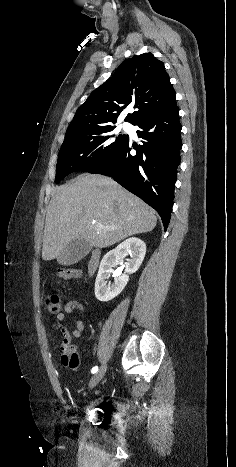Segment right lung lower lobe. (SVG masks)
<instances>
[{
  "label": "right lung lower lobe",
  "instance_id": "1",
  "mask_svg": "<svg viewBox=\"0 0 236 467\" xmlns=\"http://www.w3.org/2000/svg\"><path fill=\"white\" fill-rule=\"evenodd\" d=\"M135 125L143 145L131 155L130 139L110 159L89 173L112 177L160 215L167 229L174 199V184L182 148L178 108L173 100ZM134 147V145H133ZM136 148V147H134Z\"/></svg>",
  "mask_w": 236,
  "mask_h": 467
}]
</instances>
